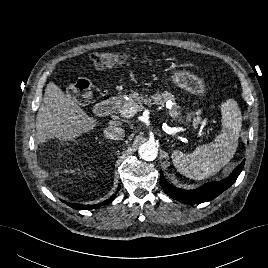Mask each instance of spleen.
<instances>
[{"mask_svg": "<svg viewBox=\"0 0 268 268\" xmlns=\"http://www.w3.org/2000/svg\"><path fill=\"white\" fill-rule=\"evenodd\" d=\"M221 113L222 131L215 142L197 147L193 153H172L175 167L184 176L203 180L215 175L233 158L242 126L241 111L235 100L228 99L221 105Z\"/></svg>", "mask_w": 268, "mask_h": 268, "instance_id": "obj_1", "label": "spleen"}]
</instances>
